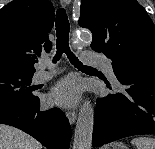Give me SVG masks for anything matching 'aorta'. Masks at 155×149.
<instances>
[{"instance_id": "762f6f07", "label": "aorta", "mask_w": 155, "mask_h": 149, "mask_svg": "<svg viewBox=\"0 0 155 149\" xmlns=\"http://www.w3.org/2000/svg\"><path fill=\"white\" fill-rule=\"evenodd\" d=\"M92 35L89 31L80 30L73 37L75 44H90ZM94 127V110L89 101L82 104L75 128L73 149H91Z\"/></svg>"}]
</instances>
